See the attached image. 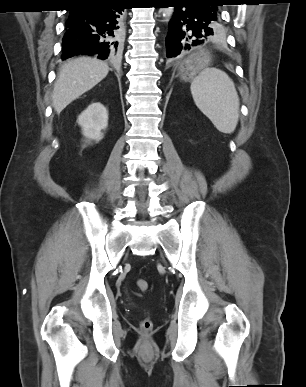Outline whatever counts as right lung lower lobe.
<instances>
[{"label":"right lung lower lobe","mask_w":306,"mask_h":387,"mask_svg":"<svg viewBox=\"0 0 306 387\" xmlns=\"http://www.w3.org/2000/svg\"><path fill=\"white\" fill-rule=\"evenodd\" d=\"M125 6L124 0H107L71 10L72 24L66 25L61 58L66 60L80 54L100 59L117 57Z\"/></svg>","instance_id":"1"}]
</instances>
